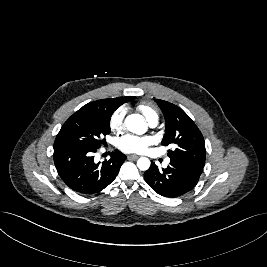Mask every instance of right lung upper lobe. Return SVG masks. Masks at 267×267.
Listing matches in <instances>:
<instances>
[{
  "label": "right lung upper lobe",
  "mask_w": 267,
  "mask_h": 267,
  "mask_svg": "<svg viewBox=\"0 0 267 267\" xmlns=\"http://www.w3.org/2000/svg\"><path fill=\"white\" fill-rule=\"evenodd\" d=\"M133 99H135L134 96H126L113 99L97 100L84 105L81 109L77 111V113L90 112L94 110H110L114 112L123 103L131 101Z\"/></svg>",
  "instance_id": "right-lung-upper-lobe-1"
}]
</instances>
